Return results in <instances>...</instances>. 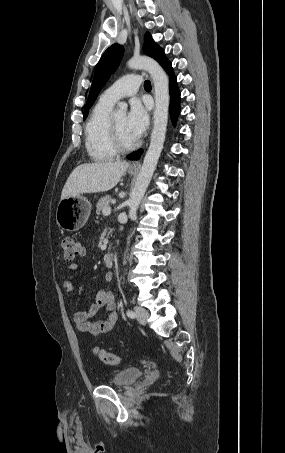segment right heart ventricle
<instances>
[{
  "label": "right heart ventricle",
  "instance_id": "1",
  "mask_svg": "<svg viewBox=\"0 0 285 453\" xmlns=\"http://www.w3.org/2000/svg\"><path fill=\"white\" fill-rule=\"evenodd\" d=\"M114 104L100 98L85 125V147L94 161H107L117 155L109 131L111 111Z\"/></svg>",
  "mask_w": 285,
  "mask_h": 453
}]
</instances>
